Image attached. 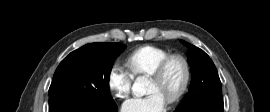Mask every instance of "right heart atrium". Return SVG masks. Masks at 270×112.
<instances>
[{
  "label": "right heart atrium",
  "instance_id": "1",
  "mask_svg": "<svg viewBox=\"0 0 270 112\" xmlns=\"http://www.w3.org/2000/svg\"><path fill=\"white\" fill-rule=\"evenodd\" d=\"M133 79V74L123 64L114 63L107 76L110 92L117 99L127 98L132 89Z\"/></svg>",
  "mask_w": 270,
  "mask_h": 112
}]
</instances>
